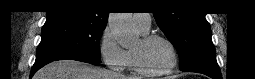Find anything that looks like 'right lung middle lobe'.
Returning a JSON list of instances; mask_svg holds the SVG:
<instances>
[{
  "instance_id": "dd1d6c3e",
  "label": "right lung middle lobe",
  "mask_w": 255,
  "mask_h": 79,
  "mask_svg": "<svg viewBox=\"0 0 255 79\" xmlns=\"http://www.w3.org/2000/svg\"><path fill=\"white\" fill-rule=\"evenodd\" d=\"M105 26L69 21L46 22L36 61L54 57H71L91 64L100 62V38Z\"/></svg>"
}]
</instances>
